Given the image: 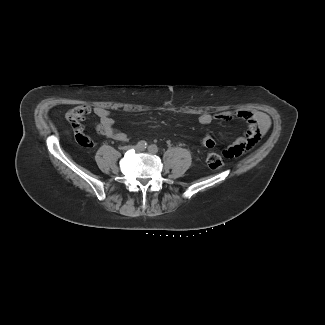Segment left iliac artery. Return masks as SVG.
I'll use <instances>...</instances> for the list:
<instances>
[{"mask_svg": "<svg viewBox=\"0 0 325 325\" xmlns=\"http://www.w3.org/2000/svg\"><path fill=\"white\" fill-rule=\"evenodd\" d=\"M148 150H149V152H151V153H157V152H158V147H157L156 145L152 144V145H150V146L148 147Z\"/></svg>", "mask_w": 325, "mask_h": 325, "instance_id": "1", "label": "left iliac artery"}]
</instances>
